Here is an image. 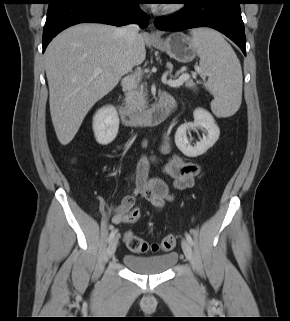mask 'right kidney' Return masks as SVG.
Here are the masks:
<instances>
[{
	"instance_id": "1",
	"label": "right kidney",
	"mask_w": 290,
	"mask_h": 321,
	"mask_svg": "<svg viewBox=\"0 0 290 321\" xmlns=\"http://www.w3.org/2000/svg\"><path fill=\"white\" fill-rule=\"evenodd\" d=\"M119 117L113 106H104L93 117V131L96 141L101 145L111 143L117 136Z\"/></svg>"
}]
</instances>
